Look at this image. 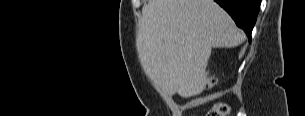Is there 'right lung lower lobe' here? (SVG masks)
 <instances>
[{"label": "right lung lower lobe", "mask_w": 305, "mask_h": 116, "mask_svg": "<svg viewBox=\"0 0 305 116\" xmlns=\"http://www.w3.org/2000/svg\"><path fill=\"white\" fill-rule=\"evenodd\" d=\"M233 18L251 41V33L260 10L261 0H214Z\"/></svg>", "instance_id": "right-lung-lower-lobe-1"}]
</instances>
